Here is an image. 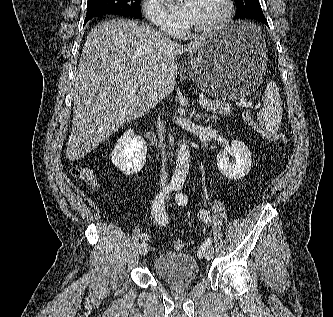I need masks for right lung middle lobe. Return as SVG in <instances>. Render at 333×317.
<instances>
[{
    "instance_id": "1",
    "label": "right lung middle lobe",
    "mask_w": 333,
    "mask_h": 317,
    "mask_svg": "<svg viewBox=\"0 0 333 317\" xmlns=\"http://www.w3.org/2000/svg\"><path fill=\"white\" fill-rule=\"evenodd\" d=\"M141 0H88L86 18L106 14H121L139 18Z\"/></svg>"
}]
</instances>
